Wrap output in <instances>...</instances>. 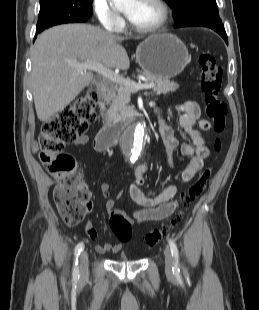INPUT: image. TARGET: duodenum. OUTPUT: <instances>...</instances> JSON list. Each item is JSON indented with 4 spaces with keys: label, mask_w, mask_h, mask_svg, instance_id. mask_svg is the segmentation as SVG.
<instances>
[{
    "label": "duodenum",
    "mask_w": 259,
    "mask_h": 310,
    "mask_svg": "<svg viewBox=\"0 0 259 310\" xmlns=\"http://www.w3.org/2000/svg\"><path fill=\"white\" fill-rule=\"evenodd\" d=\"M113 85L102 84L99 89V102H103L110 95ZM137 116V110H131L122 122L110 123L104 126L97 134L96 146L99 149L112 147L123 132L129 128L132 120Z\"/></svg>",
    "instance_id": "duodenum-1"
}]
</instances>
